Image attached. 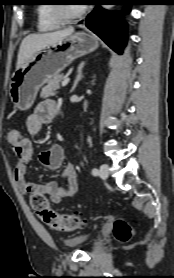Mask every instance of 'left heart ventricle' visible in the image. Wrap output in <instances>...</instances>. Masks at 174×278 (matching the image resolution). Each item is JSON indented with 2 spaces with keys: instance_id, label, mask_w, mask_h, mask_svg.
Listing matches in <instances>:
<instances>
[{
  "instance_id": "obj_1",
  "label": "left heart ventricle",
  "mask_w": 174,
  "mask_h": 278,
  "mask_svg": "<svg viewBox=\"0 0 174 278\" xmlns=\"http://www.w3.org/2000/svg\"><path fill=\"white\" fill-rule=\"evenodd\" d=\"M83 6L81 5H70L68 6V10L72 13L79 11Z\"/></svg>"
}]
</instances>
